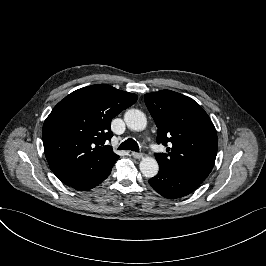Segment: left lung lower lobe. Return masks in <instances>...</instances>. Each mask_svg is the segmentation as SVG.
I'll return each instance as SVG.
<instances>
[{"label": "left lung lower lobe", "instance_id": "obj_1", "mask_svg": "<svg viewBox=\"0 0 266 266\" xmlns=\"http://www.w3.org/2000/svg\"><path fill=\"white\" fill-rule=\"evenodd\" d=\"M155 191L165 198H181L196 190L201 182L159 165L158 174L149 180Z\"/></svg>", "mask_w": 266, "mask_h": 266}]
</instances>
